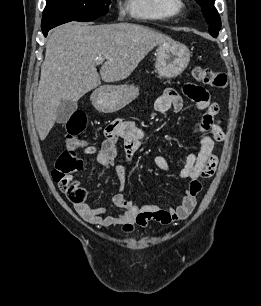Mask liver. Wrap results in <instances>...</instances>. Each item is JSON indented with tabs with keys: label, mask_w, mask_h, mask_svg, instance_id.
I'll return each mask as SVG.
<instances>
[{
	"label": "liver",
	"mask_w": 261,
	"mask_h": 306,
	"mask_svg": "<svg viewBox=\"0 0 261 306\" xmlns=\"http://www.w3.org/2000/svg\"><path fill=\"white\" fill-rule=\"evenodd\" d=\"M172 39L130 23L86 25L70 22L55 28L46 43L45 60L33 99L35 125L44 140L55 124L62 100L78 101L101 84L126 79L160 43ZM97 57L104 63L100 76Z\"/></svg>",
	"instance_id": "liver-1"
}]
</instances>
